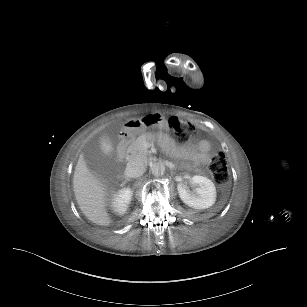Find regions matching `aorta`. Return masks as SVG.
I'll return each mask as SVG.
<instances>
[{"label": "aorta", "mask_w": 307, "mask_h": 307, "mask_svg": "<svg viewBox=\"0 0 307 307\" xmlns=\"http://www.w3.org/2000/svg\"><path fill=\"white\" fill-rule=\"evenodd\" d=\"M165 172V166L162 163L154 164L152 167V173L155 176H161Z\"/></svg>", "instance_id": "762f6f07"}]
</instances>
